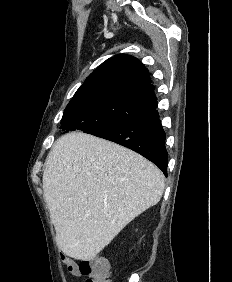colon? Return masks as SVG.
Returning a JSON list of instances; mask_svg holds the SVG:
<instances>
[{
  "mask_svg": "<svg viewBox=\"0 0 232 282\" xmlns=\"http://www.w3.org/2000/svg\"><path fill=\"white\" fill-rule=\"evenodd\" d=\"M66 263L71 273L85 276L86 282H111L110 264L105 258L83 260L81 262L67 259Z\"/></svg>",
  "mask_w": 232,
  "mask_h": 282,
  "instance_id": "5ec220e1",
  "label": "colon"
}]
</instances>
